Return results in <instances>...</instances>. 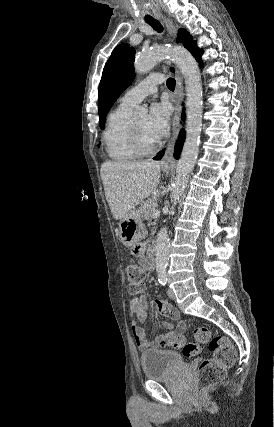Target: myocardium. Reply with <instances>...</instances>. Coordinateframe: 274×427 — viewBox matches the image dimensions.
<instances>
[{
    "mask_svg": "<svg viewBox=\"0 0 274 427\" xmlns=\"http://www.w3.org/2000/svg\"><path fill=\"white\" fill-rule=\"evenodd\" d=\"M129 138H130L131 148L135 153V155H137L138 157H149L153 155L155 152H157L162 146V143L159 141L154 146L144 147V145L142 144L135 120H133L131 123Z\"/></svg>",
    "mask_w": 274,
    "mask_h": 427,
    "instance_id": "1",
    "label": "myocardium"
}]
</instances>
